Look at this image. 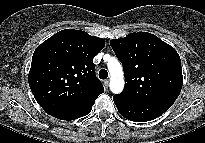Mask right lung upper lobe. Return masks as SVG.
<instances>
[{
	"mask_svg": "<svg viewBox=\"0 0 205 143\" xmlns=\"http://www.w3.org/2000/svg\"><path fill=\"white\" fill-rule=\"evenodd\" d=\"M104 46L102 38L66 29L36 48L28 82L46 112H76L104 92L93 63Z\"/></svg>",
	"mask_w": 205,
	"mask_h": 143,
	"instance_id": "right-lung-upper-lobe-1",
	"label": "right lung upper lobe"
}]
</instances>
